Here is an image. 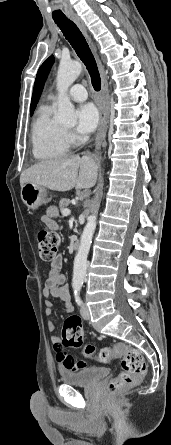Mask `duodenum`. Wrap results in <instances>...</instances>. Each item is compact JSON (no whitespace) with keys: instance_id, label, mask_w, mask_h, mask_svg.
Masks as SVG:
<instances>
[{"instance_id":"obj_1","label":"duodenum","mask_w":171,"mask_h":445,"mask_svg":"<svg viewBox=\"0 0 171 445\" xmlns=\"http://www.w3.org/2000/svg\"><path fill=\"white\" fill-rule=\"evenodd\" d=\"M80 245H81L80 240L79 239H75L74 242H73V247L75 249H78V248H80Z\"/></svg>"}]
</instances>
